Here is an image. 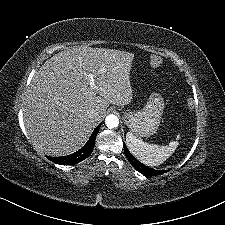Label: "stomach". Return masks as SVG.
<instances>
[{"label": "stomach", "mask_w": 225, "mask_h": 225, "mask_svg": "<svg viewBox=\"0 0 225 225\" xmlns=\"http://www.w3.org/2000/svg\"><path fill=\"white\" fill-rule=\"evenodd\" d=\"M162 109V99L153 97L143 109L125 113L124 121L134 135L139 137L151 136L156 133L159 127Z\"/></svg>", "instance_id": "1"}]
</instances>
